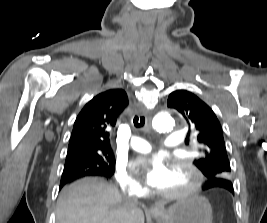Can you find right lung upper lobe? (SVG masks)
Listing matches in <instances>:
<instances>
[{"instance_id":"obj_1","label":"right lung upper lobe","mask_w":267,"mask_h":223,"mask_svg":"<svg viewBox=\"0 0 267 223\" xmlns=\"http://www.w3.org/2000/svg\"><path fill=\"white\" fill-rule=\"evenodd\" d=\"M127 105V94L122 89L108 90L89 101L74 123L67 158L112 153L111 129Z\"/></svg>"}]
</instances>
